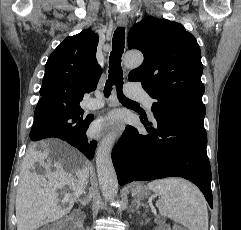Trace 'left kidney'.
<instances>
[{"instance_id": "left-kidney-1", "label": "left kidney", "mask_w": 241, "mask_h": 230, "mask_svg": "<svg viewBox=\"0 0 241 230\" xmlns=\"http://www.w3.org/2000/svg\"><path fill=\"white\" fill-rule=\"evenodd\" d=\"M175 230H183V229H180V228L178 229V228H176Z\"/></svg>"}]
</instances>
